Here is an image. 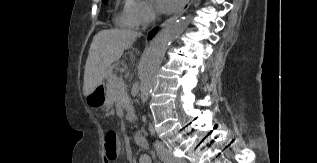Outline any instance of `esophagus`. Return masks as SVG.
Wrapping results in <instances>:
<instances>
[{
	"instance_id": "obj_1",
	"label": "esophagus",
	"mask_w": 317,
	"mask_h": 163,
	"mask_svg": "<svg viewBox=\"0 0 317 163\" xmlns=\"http://www.w3.org/2000/svg\"><path fill=\"white\" fill-rule=\"evenodd\" d=\"M191 3H192V0H185L182 7L173 16H171L166 21H164L161 24V27L163 28L167 26L168 24H170L171 22H173L174 20H176L177 18H179L182 14H184L187 11Z\"/></svg>"
}]
</instances>
